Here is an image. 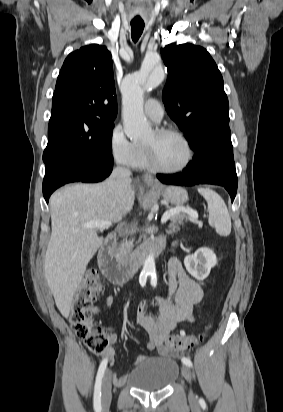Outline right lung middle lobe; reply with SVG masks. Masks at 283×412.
<instances>
[{"instance_id": "1", "label": "right lung middle lobe", "mask_w": 283, "mask_h": 412, "mask_svg": "<svg viewBox=\"0 0 283 412\" xmlns=\"http://www.w3.org/2000/svg\"><path fill=\"white\" fill-rule=\"evenodd\" d=\"M114 124L105 125L93 114L68 112L51 116L44 163L61 159L113 161L111 139Z\"/></svg>"}]
</instances>
